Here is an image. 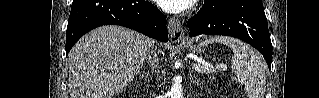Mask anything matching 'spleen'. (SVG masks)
Returning a JSON list of instances; mask_svg holds the SVG:
<instances>
[{
  "label": "spleen",
  "mask_w": 319,
  "mask_h": 98,
  "mask_svg": "<svg viewBox=\"0 0 319 98\" xmlns=\"http://www.w3.org/2000/svg\"><path fill=\"white\" fill-rule=\"evenodd\" d=\"M221 43L233 51L231 68L244 85L248 98H264L266 74L260 57L245 43L235 38L215 36L200 43V47L210 43Z\"/></svg>",
  "instance_id": "obj_1"
}]
</instances>
